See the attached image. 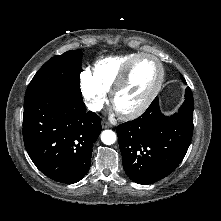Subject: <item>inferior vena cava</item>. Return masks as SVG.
<instances>
[{"label": "inferior vena cava", "mask_w": 221, "mask_h": 221, "mask_svg": "<svg viewBox=\"0 0 221 221\" xmlns=\"http://www.w3.org/2000/svg\"><path fill=\"white\" fill-rule=\"evenodd\" d=\"M88 109L91 111H100L102 109V105L101 104H88L87 105Z\"/></svg>", "instance_id": "1"}]
</instances>
